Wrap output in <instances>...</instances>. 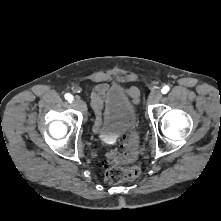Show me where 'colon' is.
<instances>
[{"label": "colon", "instance_id": "obj_1", "mask_svg": "<svg viewBox=\"0 0 221 221\" xmlns=\"http://www.w3.org/2000/svg\"><path fill=\"white\" fill-rule=\"evenodd\" d=\"M137 155V137L130 135L124 138L120 148L107 154L105 179L113 184L121 183L140 174V168L133 164ZM122 164H131L123 167Z\"/></svg>", "mask_w": 221, "mask_h": 221}]
</instances>
